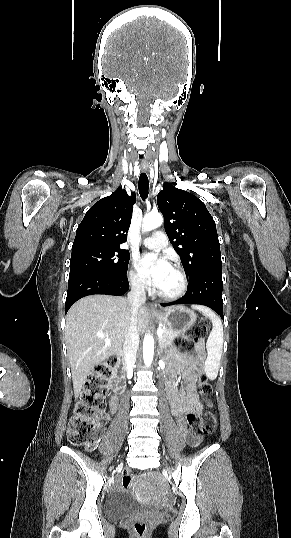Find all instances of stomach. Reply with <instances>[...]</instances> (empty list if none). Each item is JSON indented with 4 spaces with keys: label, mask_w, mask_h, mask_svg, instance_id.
Instances as JSON below:
<instances>
[{
    "label": "stomach",
    "mask_w": 291,
    "mask_h": 538,
    "mask_svg": "<svg viewBox=\"0 0 291 538\" xmlns=\"http://www.w3.org/2000/svg\"><path fill=\"white\" fill-rule=\"evenodd\" d=\"M158 320L169 330L185 332L196 321V314L183 306H176L157 315Z\"/></svg>",
    "instance_id": "obj_1"
}]
</instances>
